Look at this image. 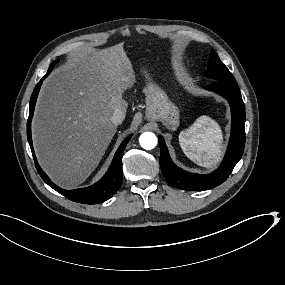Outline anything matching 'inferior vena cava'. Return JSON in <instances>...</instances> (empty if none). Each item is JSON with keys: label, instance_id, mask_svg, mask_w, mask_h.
<instances>
[{"label": "inferior vena cava", "instance_id": "obj_1", "mask_svg": "<svg viewBox=\"0 0 285 285\" xmlns=\"http://www.w3.org/2000/svg\"><path fill=\"white\" fill-rule=\"evenodd\" d=\"M125 118V113L122 112L121 110H116L111 118V121L115 125H119L122 123V121Z\"/></svg>", "mask_w": 285, "mask_h": 285}]
</instances>
